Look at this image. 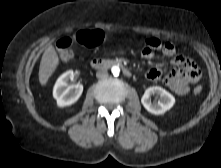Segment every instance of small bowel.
I'll return each instance as SVG.
<instances>
[{
	"mask_svg": "<svg viewBox=\"0 0 221 168\" xmlns=\"http://www.w3.org/2000/svg\"><path fill=\"white\" fill-rule=\"evenodd\" d=\"M160 50L166 56L174 57L173 64L175 69L163 75L159 67H153L146 72V77L151 81L162 80V82L177 95L186 94L189 91L188 83L195 82L199 78L197 67L191 60L183 56H176V49L171 43H164ZM154 51L155 50L145 45L141 55L144 59L149 60L153 58Z\"/></svg>",
	"mask_w": 221,
	"mask_h": 168,
	"instance_id": "c3829d8e",
	"label": "small bowel"
}]
</instances>
